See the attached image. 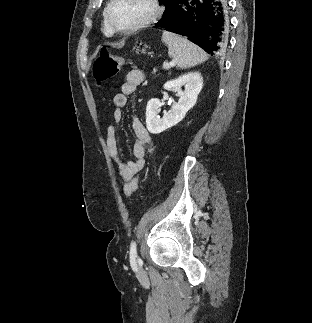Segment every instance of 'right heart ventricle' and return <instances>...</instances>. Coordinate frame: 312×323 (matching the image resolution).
Masks as SVG:
<instances>
[{"mask_svg": "<svg viewBox=\"0 0 312 323\" xmlns=\"http://www.w3.org/2000/svg\"><path fill=\"white\" fill-rule=\"evenodd\" d=\"M100 23H101V29H102V31L104 32V33H107L108 31H109V29H110V22H107V20L105 19V18H102L101 20H100Z\"/></svg>", "mask_w": 312, "mask_h": 323, "instance_id": "obj_1", "label": "right heart ventricle"}]
</instances>
